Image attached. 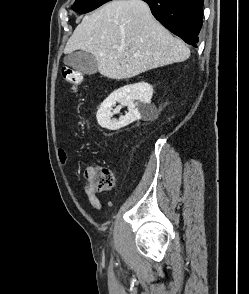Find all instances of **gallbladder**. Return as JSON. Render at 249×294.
<instances>
[{
	"label": "gallbladder",
	"mask_w": 249,
	"mask_h": 294,
	"mask_svg": "<svg viewBox=\"0 0 249 294\" xmlns=\"http://www.w3.org/2000/svg\"><path fill=\"white\" fill-rule=\"evenodd\" d=\"M64 64L87 75H92L97 72L95 57L85 51H74L67 54L64 58Z\"/></svg>",
	"instance_id": "obj_1"
}]
</instances>
